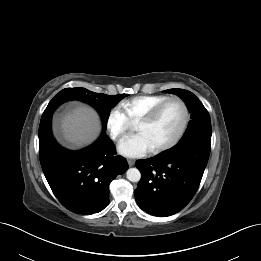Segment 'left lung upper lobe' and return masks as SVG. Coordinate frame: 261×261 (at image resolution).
<instances>
[{
  "instance_id": "left-lung-upper-lobe-1",
  "label": "left lung upper lobe",
  "mask_w": 261,
  "mask_h": 261,
  "mask_svg": "<svg viewBox=\"0 0 261 261\" xmlns=\"http://www.w3.org/2000/svg\"><path fill=\"white\" fill-rule=\"evenodd\" d=\"M163 92L178 95L191 113V121L180 141L197 137L211 139L212 128L209 113L195 94L183 89H168Z\"/></svg>"
}]
</instances>
